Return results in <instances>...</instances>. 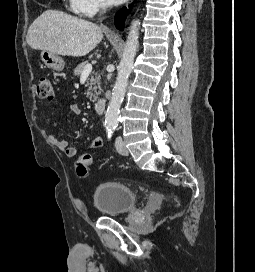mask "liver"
<instances>
[{
    "instance_id": "liver-1",
    "label": "liver",
    "mask_w": 255,
    "mask_h": 272,
    "mask_svg": "<svg viewBox=\"0 0 255 272\" xmlns=\"http://www.w3.org/2000/svg\"><path fill=\"white\" fill-rule=\"evenodd\" d=\"M102 38L101 26L60 11L46 10L31 24L26 40L33 49L81 57L92 51Z\"/></svg>"
}]
</instances>
